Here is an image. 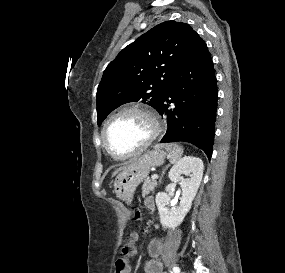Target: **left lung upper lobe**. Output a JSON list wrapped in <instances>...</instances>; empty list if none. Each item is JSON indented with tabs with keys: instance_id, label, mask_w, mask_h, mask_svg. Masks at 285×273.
<instances>
[{
	"instance_id": "left-lung-upper-lobe-1",
	"label": "left lung upper lobe",
	"mask_w": 285,
	"mask_h": 273,
	"mask_svg": "<svg viewBox=\"0 0 285 273\" xmlns=\"http://www.w3.org/2000/svg\"><path fill=\"white\" fill-rule=\"evenodd\" d=\"M193 32L189 24L166 21L125 47L104 71L98 86V125L128 102L141 101L158 109Z\"/></svg>"
}]
</instances>
